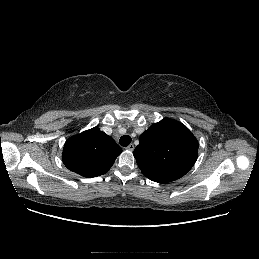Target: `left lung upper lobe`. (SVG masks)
<instances>
[{
  "instance_id": "1",
  "label": "left lung upper lobe",
  "mask_w": 259,
  "mask_h": 259,
  "mask_svg": "<svg viewBox=\"0 0 259 259\" xmlns=\"http://www.w3.org/2000/svg\"><path fill=\"white\" fill-rule=\"evenodd\" d=\"M134 157L142 173L166 183L184 176L198 157V141L181 122L165 118L140 136Z\"/></svg>"
}]
</instances>
